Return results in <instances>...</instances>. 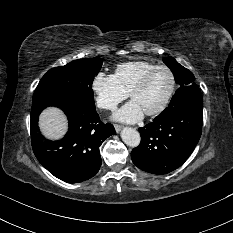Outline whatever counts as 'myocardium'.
<instances>
[{
	"label": "myocardium",
	"mask_w": 233,
	"mask_h": 233,
	"mask_svg": "<svg viewBox=\"0 0 233 233\" xmlns=\"http://www.w3.org/2000/svg\"><path fill=\"white\" fill-rule=\"evenodd\" d=\"M159 70H165L169 73V75L171 77V86H170V89H169L167 96L165 97V99L161 103V105L158 108H156L155 110L145 113V115L149 116V117H153V116H157V115L161 114L168 107V105H169V103L174 95L175 89H176V77H175L174 72L168 66H165V65L156 66L153 69L146 72L140 78V80L133 86L131 91L129 92V97L132 99L134 94L141 91L145 87V85L147 84L150 77L155 72H157Z\"/></svg>",
	"instance_id": "f54148a6"
}]
</instances>
